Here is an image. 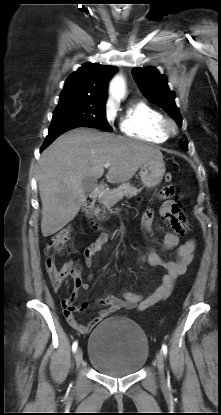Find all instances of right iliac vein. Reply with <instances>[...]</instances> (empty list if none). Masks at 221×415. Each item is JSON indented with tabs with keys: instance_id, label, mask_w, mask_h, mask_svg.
I'll use <instances>...</instances> for the list:
<instances>
[{
	"instance_id": "1",
	"label": "right iliac vein",
	"mask_w": 221,
	"mask_h": 415,
	"mask_svg": "<svg viewBox=\"0 0 221 415\" xmlns=\"http://www.w3.org/2000/svg\"><path fill=\"white\" fill-rule=\"evenodd\" d=\"M82 359H83L82 350L80 348H78L75 352V361H76L77 367H79L81 365Z\"/></svg>"
}]
</instances>
